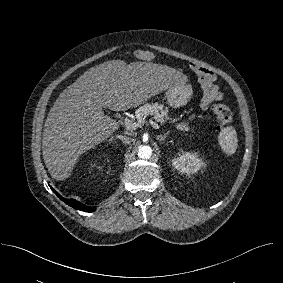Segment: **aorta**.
<instances>
[{"label": "aorta", "mask_w": 283, "mask_h": 283, "mask_svg": "<svg viewBox=\"0 0 283 283\" xmlns=\"http://www.w3.org/2000/svg\"><path fill=\"white\" fill-rule=\"evenodd\" d=\"M152 154V148L148 145L140 146L138 149V156L141 159H149Z\"/></svg>", "instance_id": "1"}]
</instances>
